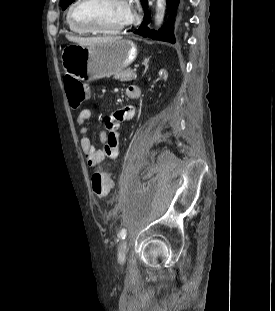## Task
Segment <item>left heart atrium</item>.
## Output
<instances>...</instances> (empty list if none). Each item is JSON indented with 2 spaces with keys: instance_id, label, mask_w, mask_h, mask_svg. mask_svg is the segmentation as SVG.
<instances>
[{
  "instance_id": "1",
  "label": "left heart atrium",
  "mask_w": 275,
  "mask_h": 311,
  "mask_svg": "<svg viewBox=\"0 0 275 311\" xmlns=\"http://www.w3.org/2000/svg\"><path fill=\"white\" fill-rule=\"evenodd\" d=\"M127 22L130 23L136 18V5L127 2Z\"/></svg>"
}]
</instances>
